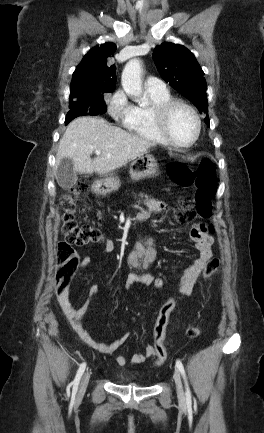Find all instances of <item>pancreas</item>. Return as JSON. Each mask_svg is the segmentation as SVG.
<instances>
[{
    "label": "pancreas",
    "instance_id": "1",
    "mask_svg": "<svg viewBox=\"0 0 264 433\" xmlns=\"http://www.w3.org/2000/svg\"><path fill=\"white\" fill-rule=\"evenodd\" d=\"M140 196H141L142 198L144 197L143 194H140ZM145 198L148 199V196L145 195Z\"/></svg>",
    "mask_w": 264,
    "mask_h": 433
}]
</instances>
